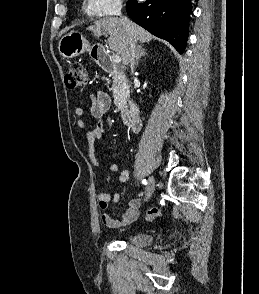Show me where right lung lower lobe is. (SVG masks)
<instances>
[{
  "label": "right lung lower lobe",
  "mask_w": 259,
  "mask_h": 294,
  "mask_svg": "<svg viewBox=\"0 0 259 294\" xmlns=\"http://www.w3.org/2000/svg\"><path fill=\"white\" fill-rule=\"evenodd\" d=\"M127 14L155 36L167 40L183 53L189 32L191 0L128 1Z\"/></svg>",
  "instance_id": "right-lung-lower-lobe-1"
}]
</instances>
